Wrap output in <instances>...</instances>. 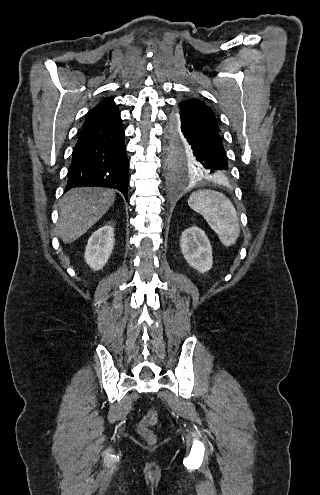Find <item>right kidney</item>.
<instances>
[{"instance_id":"right-kidney-1","label":"right kidney","mask_w":320,"mask_h":495,"mask_svg":"<svg viewBox=\"0 0 320 495\" xmlns=\"http://www.w3.org/2000/svg\"><path fill=\"white\" fill-rule=\"evenodd\" d=\"M114 247V231L106 225L95 231L88 240L85 260L93 270L102 269L107 263Z\"/></svg>"}]
</instances>
